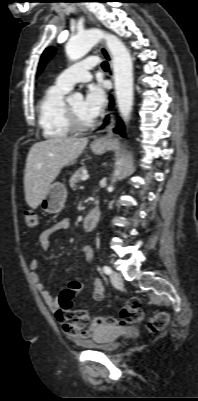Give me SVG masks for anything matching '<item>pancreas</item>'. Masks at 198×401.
Segmentation results:
<instances>
[{"instance_id":"1","label":"pancreas","mask_w":198,"mask_h":401,"mask_svg":"<svg viewBox=\"0 0 198 401\" xmlns=\"http://www.w3.org/2000/svg\"><path fill=\"white\" fill-rule=\"evenodd\" d=\"M85 167L79 168L70 178V187L75 189L77 184L81 181L82 176L84 175Z\"/></svg>"}]
</instances>
